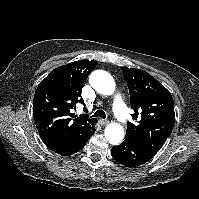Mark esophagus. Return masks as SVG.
I'll use <instances>...</instances> for the list:
<instances>
[{
    "label": "esophagus",
    "mask_w": 199,
    "mask_h": 199,
    "mask_svg": "<svg viewBox=\"0 0 199 199\" xmlns=\"http://www.w3.org/2000/svg\"><path fill=\"white\" fill-rule=\"evenodd\" d=\"M108 123H109L108 120L100 119V124H101L102 126H105V125H107Z\"/></svg>",
    "instance_id": "esophagus-1"
}]
</instances>
